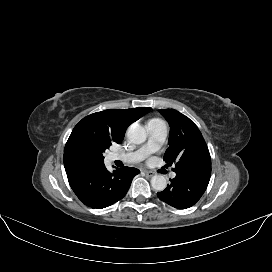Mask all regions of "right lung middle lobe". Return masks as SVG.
<instances>
[{
    "label": "right lung middle lobe",
    "instance_id": "right-lung-middle-lobe-1",
    "mask_svg": "<svg viewBox=\"0 0 272 272\" xmlns=\"http://www.w3.org/2000/svg\"><path fill=\"white\" fill-rule=\"evenodd\" d=\"M112 141L104 136L82 132L74 138L73 148L85 161L95 165L104 164L103 153L112 145Z\"/></svg>",
    "mask_w": 272,
    "mask_h": 272
}]
</instances>
